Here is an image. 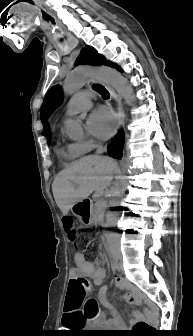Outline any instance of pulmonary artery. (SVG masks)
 Here are the masks:
<instances>
[{
	"label": "pulmonary artery",
	"mask_w": 193,
	"mask_h": 336,
	"mask_svg": "<svg viewBox=\"0 0 193 336\" xmlns=\"http://www.w3.org/2000/svg\"><path fill=\"white\" fill-rule=\"evenodd\" d=\"M89 91H82L75 94L67 103L65 116L72 117L81 112H85L92 107Z\"/></svg>",
	"instance_id": "pulmonary-artery-1"
}]
</instances>
